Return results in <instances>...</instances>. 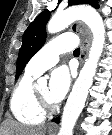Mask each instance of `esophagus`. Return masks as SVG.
Returning a JSON list of instances; mask_svg holds the SVG:
<instances>
[{
	"mask_svg": "<svg viewBox=\"0 0 112 135\" xmlns=\"http://www.w3.org/2000/svg\"><path fill=\"white\" fill-rule=\"evenodd\" d=\"M72 29L78 31L83 37L82 48H81V61L83 63L84 59L87 56L92 36L89 29L83 23L79 22V23L73 24ZM49 129L57 130V125L52 123L49 125Z\"/></svg>",
	"mask_w": 112,
	"mask_h": 135,
	"instance_id": "1",
	"label": "esophagus"
}]
</instances>
